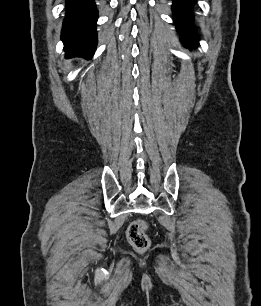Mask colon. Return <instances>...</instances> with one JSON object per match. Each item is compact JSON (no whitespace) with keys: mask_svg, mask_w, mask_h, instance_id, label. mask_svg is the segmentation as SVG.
Wrapping results in <instances>:
<instances>
[{"mask_svg":"<svg viewBox=\"0 0 261 306\" xmlns=\"http://www.w3.org/2000/svg\"><path fill=\"white\" fill-rule=\"evenodd\" d=\"M146 230V223L142 220H135L128 227V241L137 251H145L150 245Z\"/></svg>","mask_w":261,"mask_h":306,"instance_id":"obj_1","label":"colon"}]
</instances>
